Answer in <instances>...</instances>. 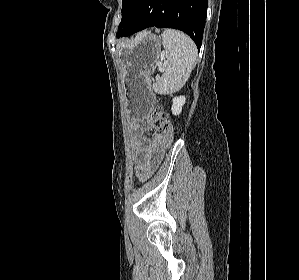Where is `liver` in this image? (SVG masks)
Returning <instances> with one entry per match:
<instances>
[{
  "label": "liver",
  "instance_id": "obj_1",
  "mask_svg": "<svg viewBox=\"0 0 299 280\" xmlns=\"http://www.w3.org/2000/svg\"><path fill=\"white\" fill-rule=\"evenodd\" d=\"M123 46H124L123 44H118L117 48H120V47H123Z\"/></svg>",
  "mask_w": 299,
  "mask_h": 280
}]
</instances>
